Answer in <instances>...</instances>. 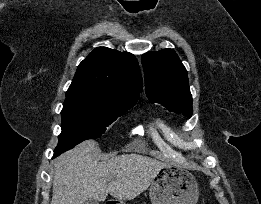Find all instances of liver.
<instances>
[{
	"label": "liver",
	"instance_id": "liver-1",
	"mask_svg": "<svg viewBox=\"0 0 261 204\" xmlns=\"http://www.w3.org/2000/svg\"><path fill=\"white\" fill-rule=\"evenodd\" d=\"M99 154L98 143L86 140L55 160L50 204L105 201L108 194L119 200H131L145 191L157 172L167 166L136 153L101 161ZM108 180L111 181L107 184Z\"/></svg>",
	"mask_w": 261,
	"mask_h": 204
}]
</instances>
